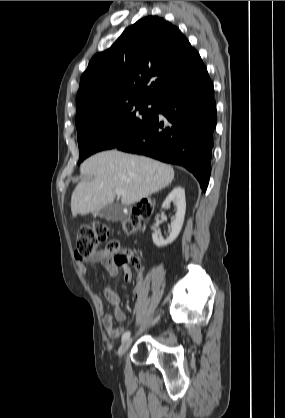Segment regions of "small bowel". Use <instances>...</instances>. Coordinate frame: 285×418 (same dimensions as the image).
Wrapping results in <instances>:
<instances>
[{
  "mask_svg": "<svg viewBox=\"0 0 285 418\" xmlns=\"http://www.w3.org/2000/svg\"><path fill=\"white\" fill-rule=\"evenodd\" d=\"M89 264H102V266L111 274L118 275L121 271L123 280L127 283H130L133 279V271L131 266L127 264H121L116 258L107 250H99L95 253L88 261ZM78 270L81 274L86 275L88 273L87 265L84 263L78 264ZM135 296H140L141 286L140 283H137L135 290ZM106 300L114 308V317L118 322H124L126 320V315L120 306V296L112 289H106L104 292ZM102 324L105 328L107 335L112 339H118L123 334V329L117 327L114 324L113 315L106 314L102 318Z\"/></svg>",
  "mask_w": 285,
  "mask_h": 418,
  "instance_id": "c3829d8e",
  "label": "small bowel"
}]
</instances>
